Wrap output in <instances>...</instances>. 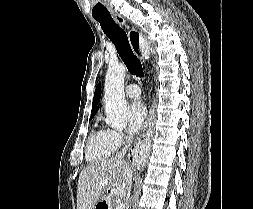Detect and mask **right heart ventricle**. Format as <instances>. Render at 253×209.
Here are the masks:
<instances>
[{"label": "right heart ventricle", "mask_w": 253, "mask_h": 209, "mask_svg": "<svg viewBox=\"0 0 253 209\" xmlns=\"http://www.w3.org/2000/svg\"><path fill=\"white\" fill-rule=\"evenodd\" d=\"M115 147L109 138V130L95 126L91 131L87 146L86 157L89 161H98L112 155Z\"/></svg>", "instance_id": "right-heart-ventricle-1"}]
</instances>
